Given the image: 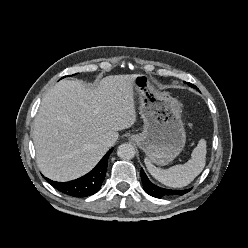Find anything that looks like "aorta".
Segmentation results:
<instances>
[{"label": "aorta", "instance_id": "1", "mask_svg": "<svg viewBox=\"0 0 248 248\" xmlns=\"http://www.w3.org/2000/svg\"><path fill=\"white\" fill-rule=\"evenodd\" d=\"M135 148L128 143L119 145L117 149V155L124 160L132 159L135 156Z\"/></svg>", "mask_w": 248, "mask_h": 248}]
</instances>
